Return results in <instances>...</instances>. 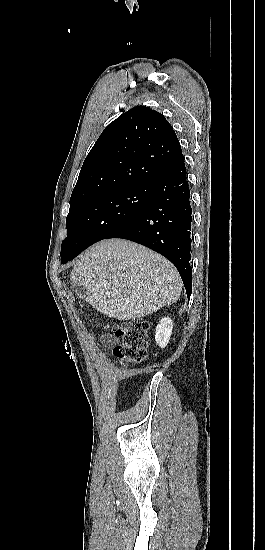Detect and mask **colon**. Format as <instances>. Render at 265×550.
<instances>
[{"label": "colon", "instance_id": "obj_1", "mask_svg": "<svg viewBox=\"0 0 265 550\" xmlns=\"http://www.w3.org/2000/svg\"><path fill=\"white\" fill-rule=\"evenodd\" d=\"M121 339V343L113 349L114 355L124 366L139 363L147 356V332L149 323L143 319H133L122 323L106 326Z\"/></svg>", "mask_w": 265, "mask_h": 550}]
</instances>
